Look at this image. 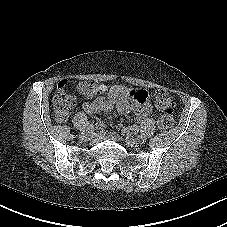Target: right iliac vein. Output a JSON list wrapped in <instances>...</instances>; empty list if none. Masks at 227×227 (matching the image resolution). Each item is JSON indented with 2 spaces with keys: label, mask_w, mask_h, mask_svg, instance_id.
Instances as JSON below:
<instances>
[{
  "label": "right iliac vein",
  "mask_w": 227,
  "mask_h": 227,
  "mask_svg": "<svg viewBox=\"0 0 227 227\" xmlns=\"http://www.w3.org/2000/svg\"><path fill=\"white\" fill-rule=\"evenodd\" d=\"M94 130H90V126L87 127L85 131L80 134L82 140H90L93 138Z\"/></svg>",
  "instance_id": "obj_1"
}]
</instances>
